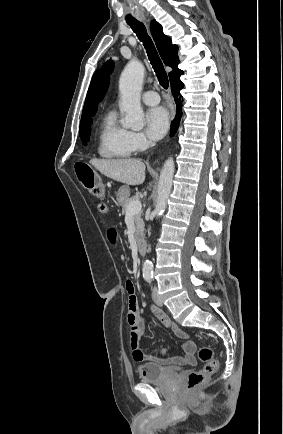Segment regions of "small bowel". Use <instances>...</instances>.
<instances>
[{
  "label": "small bowel",
  "instance_id": "1",
  "mask_svg": "<svg viewBox=\"0 0 283 434\" xmlns=\"http://www.w3.org/2000/svg\"><path fill=\"white\" fill-rule=\"evenodd\" d=\"M97 211L102 215L107 214L109 211L108 205L104 202L99 203L97 205ZM107 238L111 243L117 242L118 235L115 228L111 227L107 230ZM126 291L128 294L127 321L130 328V347L134 361L139 363L151 362L160 366H183L195 364L196 359L194 354L196 347L194 342L189 340V334L180 329L162 309L154 305L149 306L150 312L160 321L161 324L169 328L178 338L183 340L181 345L183 355L168 358L155 357L145 354L141 350L139 341L146 331V325L138 310V299L133 281L127 280ZM161 352H164V350L162 349Z\"/></svg>",
  "mask_w": 283,
  "mask_h": 434
}]
</instances>
